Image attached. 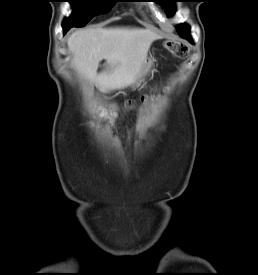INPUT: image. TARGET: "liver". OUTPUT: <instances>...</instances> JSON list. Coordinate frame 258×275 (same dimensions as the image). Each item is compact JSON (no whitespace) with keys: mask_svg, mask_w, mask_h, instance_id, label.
I'll return each instance as SVG.
<instances>
[{"mask_svg":"<svg viewBox=\"0 0 258 275\" xmlns=\"http://www.w3.org/2000/svg\"><path fill=\"white\" fill-rule=\"evenodd\" d=\"M159 38L150 29L91 28L73 32L67 39V46L75 70L91 84L112 91L135 81L152 42ZM103 59L106 67L97 73Z\"/></svg>","mask_w":258,"mask_h":275,"instance_id":"liver-1","label":"liver"}]
</instances>
